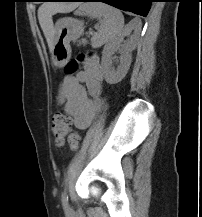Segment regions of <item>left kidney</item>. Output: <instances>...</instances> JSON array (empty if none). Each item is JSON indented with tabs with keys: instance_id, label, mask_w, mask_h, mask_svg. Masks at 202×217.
<instances>
[{
	"instance_id": "5707ae66",
	"label": "left kidney",
	"mask_w": 202,
	"mask_h": 217,
	"mask_svg": "<svg viewBox=\"0 0 202 217\" xmlns=\"http://www.w3.org/2000/svg\"><path fill=\"white\" fill-rule=\"evenodd\" d=\"M132 30L138 32L140 27L135 25V23H129L125 29L122 30L114 39L104 46L102 51V68L104 71V77L107 83L116 84L120 82L125 75L127 74L129 67L131 65V52L136 47L135 36H131V40L127 43L121 45L123 38L126 35H129ZM122 47V55L120 57V65L115 70L112 67V55L115 51L119 50Z\"/></svg>"
}]
</instances>
